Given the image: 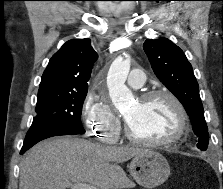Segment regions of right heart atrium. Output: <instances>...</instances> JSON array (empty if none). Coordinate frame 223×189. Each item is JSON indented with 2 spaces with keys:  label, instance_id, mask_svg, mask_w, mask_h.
<instances>
[{
  "label": "right heart atrium",
  "instance_id": "1",
  "mask_svg": "<svg viewBox=\"0 0 223 189\" xmlns=\"http://www.w3.org/2000/svg\"><path fill=\"white\" fill-rule=\"evenodd\" d=\"M82 117L94 137L106 143L116 140L120 119L104 98L89 94L83 104Z\"/></svg>",
  "mask_w": 223,
  "mask_h": 189
}]
</instances>
